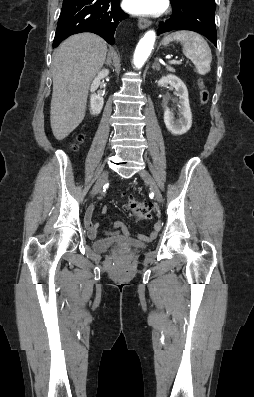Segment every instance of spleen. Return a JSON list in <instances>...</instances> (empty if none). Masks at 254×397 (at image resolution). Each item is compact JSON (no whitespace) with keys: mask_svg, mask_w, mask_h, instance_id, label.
<instances>
[{"mask_svg":"<svg viewBox=\"0 0 254 397\" xmlns=\"http://www.w3.org/2000/svg\"><path fill=\"white\" fill-rule=\"evenodd\" d=\"M172 41L182 44L184 55L194 63L198 74L205 75L210 72L211 50L201 35L186 30L176 31L163 39V45H167Z\"/></svg>","mask_w":254,"mask_h":397,"instance_id":"1","label":"spleen"}]
</instances>
